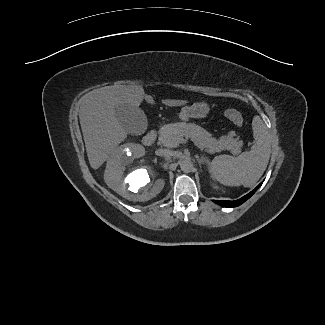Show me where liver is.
Wrapping results in <instances>:
<instances>
[{
    "mask_svg": "<svg viewBox=\"0 0 325 325\" xmlns=\"http://www.w3.org/2000/svg\"><path fill=\"white\" fill-rule=\"evenodd\" d=\"M145 98L141 85L106 86L87 93L79 109V119L86 152L90 166L98 169L109 156L116 151L128 132L116 117V108L121 104L139 107ZM153 102L152 98H149ZM186 100L165 99L162 103L168 106H182ZM140 155L144 148L132 145Z\"/></svg>",
    "mask_w": 325,
    "mask_h": 325,
    "instance_id": "liver-1",
    "label": "liver"
}]
</instances>
